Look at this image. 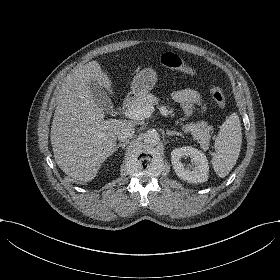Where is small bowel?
Listing matches in <instances>:
<instances>
[{
    "label": "small bowel",
    "mask_w": 280,
    "mask_h": 280,
    "mask_svg": "<svg viewBox=\"0 0 280 280\" xmlns=\"http://www.w3.org/2000/svg\"><path fill=\"white\" fill-rule=\"evenodd\" d=\"M172 98L181 105L186 116L192 115L195 106H198L202 111L205 108L200 93L193 88L176 90L172 93Z\"/></svg>",
    "instance_id": "1"
}]
</instances>
